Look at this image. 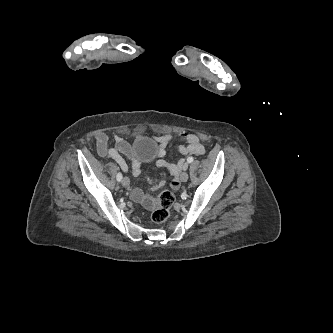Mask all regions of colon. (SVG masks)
I'll return each mask as SVG.
<instances>
[{
    "label": "colon",
    "mask_w": 333,
    "mask_h": 333,
    "mask_svg": "<svg viewBox=\"0 0 333 333\" xmlns=\"http://www.w3.org/2000/svg\"><path fill=\"white\" fill-rule=\"evenodd\" d=\"M175 201L174 193L164 190L159 194L158 206L152 212L151 218L153 222L161 224L166 222L170 217V209Z\"/></svg>",
    "instance_id": "colon-1"
}]
</instances>
